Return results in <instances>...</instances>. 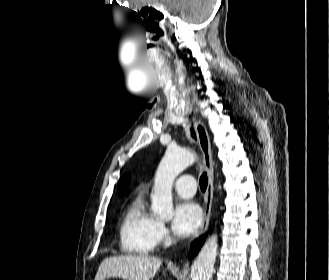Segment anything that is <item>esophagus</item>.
I'll return each instance as SVG.
<instances>
[{
	"label": "esophagus",
	"instance_id": "1",
	"mask_svg": "<svg viewBox=\"0 0 329 280\" xmlns=\"http://www.w3.org/2000/svg\"><path fill=\"white\" fill-rule=\"evenodd\" d=\"M194 126L197 133L199 145L203 154L204 168L208 174V186L205 194L204 217L199 231V235H202L208 229L210 215H211V206L213 199V180H214L213 160H212L210 139L206 127L200 120L197 119H194Z\"/></svg>",
	"mask_w": 329,
	"mask_h": 280
}]
</instances>
